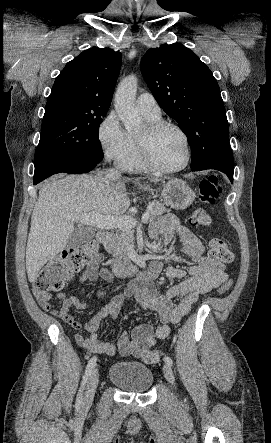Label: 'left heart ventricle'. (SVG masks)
Wrapping results in <instances>:
<instances>
[{
    "instance_id": "1",
    "label": "left heart ventricle",
    "mask_w": 271,
    "mask_h": 443,
    "mask_svg": "<svg viewBox=\"0 0 271 443\" xmlns=\"http://www.w3.org/2000/svg\"><path fill=\"white\" fill-rule=\"evenodd\" d=\"M153 155L164 167H176L186 159V146L180 133L173 128H164L153 140Z\"/></svg>"
}]
</instances>
